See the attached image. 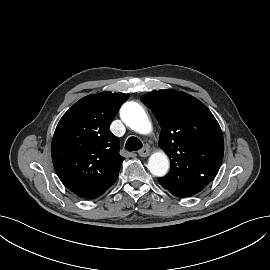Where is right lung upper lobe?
<instances>
[{"label": "right lung upper lobe", "mask_w": 270, "mask_h": 270, "mask_svg": "<svg viewBox=\"0 0 270 270\" xmlns=\"http://www.w3.org/2000/svg\"><path fill=\"white\" fill-rule=\"evenodd\" d=\"M128 97L111 92L89 95L60 119L51 146L53 165L62 183L76 195L101 194L117 180L124 158L109 126Z\"/></svg>", "instance_id": "1"}]
</instances>
